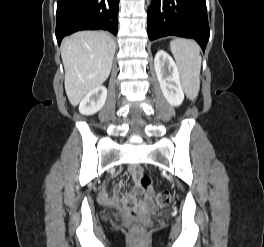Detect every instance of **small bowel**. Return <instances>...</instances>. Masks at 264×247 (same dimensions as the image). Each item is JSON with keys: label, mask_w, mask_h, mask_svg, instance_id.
<instances>
[{"label": "small bowel", "mask_w": 264, "mask_h": 247, "mask_svg": "<svg viewBox=\"0 0 264 247\" xmlns=\"http://www.w3.org/2000/svg\"><path fill=\"white\" fill-rule=\"evenodd\" d=\"M129 173L132 178L137 181L141 175V170L138 167L134 166L129 169ZM121 187L122 181H119L113 189L112 196L110 198V201L113 204L123 205L127 202L128 199H136V197L139 195L144 196V198L146 199H149L151 196V192L143 190L138 185H135L127 195L121 193ZM99 196L102 200H105L104 193H100Z\"/></svg>", "instance_id": "small-bowel-1"}]
</instances>
